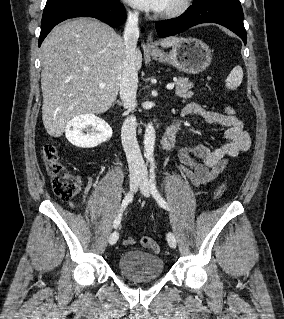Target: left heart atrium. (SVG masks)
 Returning <instances> with one entry per match:
<instances>
[{
    "label": "left heart atrium",
    "instance_id": "obj_1",
    "mask_svg": "<svg viewBox=\"0 0 284 319\" xmlns=\"http://www.w3.org/2000/svg\"><path fill=\"white\" fill-rule=\"evenodd\" d=\"M126 1L141 10L160 12L164 9L167 0H126Z\"/></svg>",
    "mask_w": 284,
    "mask_h": 319
}]
</instances>
